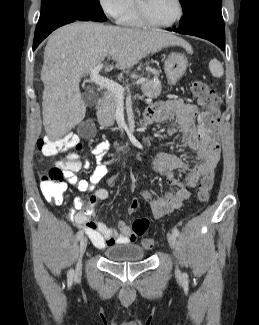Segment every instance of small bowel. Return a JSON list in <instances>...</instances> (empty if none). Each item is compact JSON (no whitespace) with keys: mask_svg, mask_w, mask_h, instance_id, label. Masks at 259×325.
Returning a JSON list of instances; mask_svg holds the SVG:
<instances>
[{"mask_svg":"<svg viewBox=\"0 0 259 325\" xmlns=\"http://www.w3.org/2000/svg\"><path fill=\"white\" fill-rule=\"evenodd\" d=\"M216 114L218 117V112ZM144 115L149 116L152 123H167L168 133L180 130L183 144L193 151L200 161L182 181L176 177L177 171L188 169L187 163L182 158L163 152L154 157L152 169L166 179L169 188L163 197L156 196L148 190H141L140 196L150 204L153 216L159 219L181 207L182 203L190 198V190L195 188L203 177L213 174L220 158L218 129H206L204 119L208 116V112L201 111L197 105L182 98L158 101L149 106ZM108 149L109 144L105 141L99 142L93 148L92 154L97 165L89 179H80L77 176V171L82 167L88 169L91 164L88 161L82 163L76 154H68L57 162V166L64 170L65 179L69 184L80 192H92L89 205H85L81 197H74L73 206L79 212L72 213L71 216L77 226L86 232L93 245L99 249L114 244L132 243L138 237L123 221L118 222V230H115L92 218L94 204L109 197L106 188H96L108 173L104 161ZM174 187L177 188L176 191L172 190Z\"/></svg>","mask_w":259,"mask_h":325,"instance_id":"1","label":"small bowel"}]
</instances>
